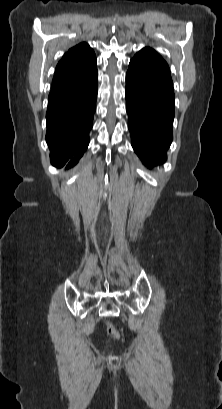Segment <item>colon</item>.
I'll return each instance as SVG.
<instances>
[{"mask_svg":"<svg viewBox=\"0 0 222 409\" xmlns=\"http://www.w3.org/2000/svg\"><path fill=\"white\" fill-rule=\"evenodd\" d=\"M109 333L113 339H119V333L117 332L116 328L113 326L109 327Z\"/></svg>","mask_w":222,"mask_h":409,"instance_id":"colon-1","label":"colon"}]
</instances>
